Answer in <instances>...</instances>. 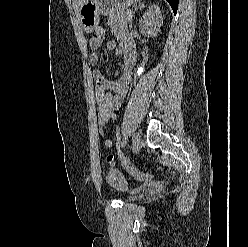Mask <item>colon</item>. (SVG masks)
Instances as JSON below:
<instances>
[{
  "label": "colon",
  "mask_w": 248,
  "mask_h": 247,
  "mask_svg": "<svg viewBox=\"0 0 248 247\" xmlns=\"http://www.w3.org/2000/svg\"><path fill=\"white\" fill-rule=\"evenodd\" d=\"M97 37H103L104 31L101 28H98L96 31ZM115 144L118 151L119 159L122 163V166L136 179L138 180H149L151 175L147 173H142L138 171L135 166L130 162L128 156L123 151V141H122V131L119 126L115 129Z\"/></svg>",
  "instance_id": "colon-1"
}]
</instances>
